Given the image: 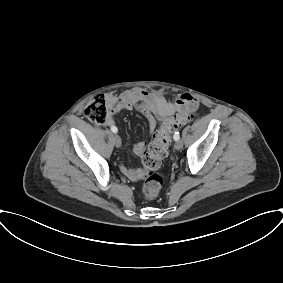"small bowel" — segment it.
Listing matches in <instances>:
<instances>
[{"label": "small bowel", "instance_id": "c3829d8e", "mask_svg": "<svg viewBox=\"0 0 283 283\" xmlns=\"http://www.w3.org/2000/svg\"><path fill=\"white\" fill-rule=\"evenodd\" d=\"M191 101L195 102L189 94L180 95L177 102H170L159 93H151L141 89H130L120 95H107L106 102L110 113L107 124L114 126L115 114L124 110L137 109L147 118L150 133H153L163 119L174 114L182 104ZM145 148L146 143L139 142L133 146V152L136 155H141ZM120 170L134 181L140 180L143 176V171L140 168H130L123 163L120 165Z\"/></svg>", "mask_w": 283, "mask_h": 283}]
</instances>
